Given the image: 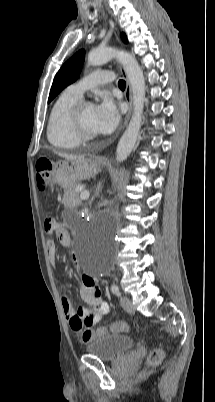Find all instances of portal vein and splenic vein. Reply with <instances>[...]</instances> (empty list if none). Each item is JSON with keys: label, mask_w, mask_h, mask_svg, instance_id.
<instances>
[{"label": "portal vein and splenic vein", "mask_w": 215, "mask_h": 402, "mask_svg": "<svg viewBox=\"0 0 215 402\" xmlns=\"http://www.w3.org/2000/svg\"><path fill=\"white\" fill-rule=\"evenodd\" d=\"M80 189H78L79 191ZM89 197V191L88 190H83L80 194V199L81 200H86Z\"/></svg>", "instance_id": "portal-vein-and-splenic-vein-1"}]
</instances>
